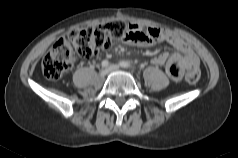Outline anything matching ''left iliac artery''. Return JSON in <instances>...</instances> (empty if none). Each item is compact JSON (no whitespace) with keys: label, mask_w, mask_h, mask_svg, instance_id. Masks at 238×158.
<instances>
[{"label":"left iliac artery","mask_w":238,"mask_h":158,"mask_svg":"<svg viewBox=\"0 0 238 158\" xmlns=\"http://www.w3.org/2000/svg\"><path fill=\"white\" fill-rule=\"evenodd\" d=\"M120 66L123 67V68L131 67L130 63H128L127 61H121Z\"/></svg>","instance_id":"left-iliac-artery-1"}]
</instances>
